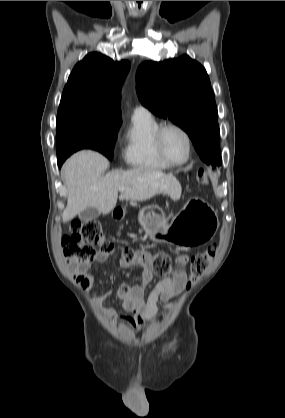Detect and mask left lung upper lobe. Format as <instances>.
I'll use <instances>...</instances> for the list:
<instances>
[{
  "label": "left lung upper lobe",
  "instance_id": "obj_1",
  "mask_svg": "<svg viewBox=\"0 0 285 418\" xmlns=\"http://www.w3.org/2000/svg\"><path fill=\"white\" fill-rule=\"evenodd\" d=\"M136 89L145 107L188 133L206 164L222 163L214 92L201 64L188 55L144 62L137 70Z\"/></svg>",
  "mask_w": 285,
  "mask_h": 418
}]
</instances>
